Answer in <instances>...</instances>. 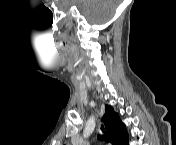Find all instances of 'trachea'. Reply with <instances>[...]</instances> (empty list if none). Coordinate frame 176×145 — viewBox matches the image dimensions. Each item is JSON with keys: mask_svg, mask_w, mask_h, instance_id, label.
I'll return each mask as SVG.
<instances>
[{"mask_svg": "<svg viewBox=\"0 0 176 145\" xmlns=\"http://www.w3.org/2000/svg\"><path fill=\"white\" fill-rule=\"evenodd\" d=\"M101 130L104 131V127L103 126H101Z\"/></svg>", "mask_w": 176, "mask_h": 145, "instance_id": "3493384b", "label": "trachea"}]
</instances>
